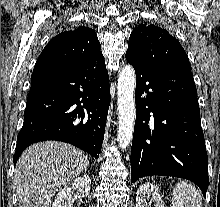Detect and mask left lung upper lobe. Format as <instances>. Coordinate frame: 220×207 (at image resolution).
Masks as SVG:
<instances>
[{
	"instance_id": "left-lung-upper-lobe-1",
	"label": "left lung upper lobe",
	"mask_w": 220,
	"mask_h": 207,
	"mask_svg": "<svg viewBox=\"0 0 220 207\" xmlns=\"http://www.w3.org/2000/svg\"><path fill=\"white\" fill-rule=\"evenodd\" d=\"M126 54L154 69L182 67L191 70L179 41L165 29L152 24H141L132 31Z\"/></svg>"
}]
</instances>
